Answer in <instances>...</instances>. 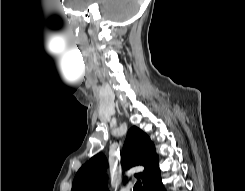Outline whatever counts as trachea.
<instances>
[{
    "label": "trachea",
    "instance_id": "trachea-1",
    "mask_svg": "<svg viewBox=\"0 0 245 191\" xmlns=\"http://www.w3.org/2000/svg\"><path fill=\"white\" fill-rule=\"evenodd\" d=\"M134 191H142L141 181H137L134 185Z\"/></svg>",
    "mask_w": 245,
    "mask_h": 191
}]
</instances>
